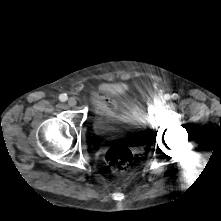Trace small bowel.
<instances>
[{
    "mask_svg": "<svg viewBox=\"0 0 221 221\" xmlns=\"http://www.w3.org/2000/svg\"><path fill=\"white\" fill-rule=\"evenodd\" d=\"M94 105L95 108L100 111L112 110L114 106L111 101H105L103 98H96L94 100Z\"/></svg>",
    "mask_w": 221,
    "mask_h": 221,
    "instance_id": "1",
    "label": "small bowel"
}]
</instances>
